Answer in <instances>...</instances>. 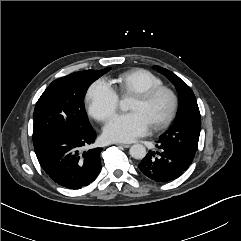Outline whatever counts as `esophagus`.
<instances>
[{
    "instance_id": "esophagus-1",
    "label": "esophagus",
    "mask_w": 241,
    "mask_h": 241,
    "mask_svg": "<svg viewBox=\"0 0 241 241\" xmlns=\"http://www.w3.org/2000/svg\"><path fill=\"white\" fill-rule=\"evenodd\" d=\"M117 145L122 146L124 148H129L131 146L130 144H124V143H119Z\"/></svg>"
}]
</instances>
